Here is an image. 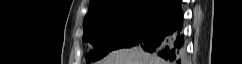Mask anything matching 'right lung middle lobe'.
<instances>
[{"label":"right lung middle lobe","mask_w":242,"mask_h":64,"mask_svg":"<svg viewBox=\"0 0 242 64\" xmlns=\"http://www.w3.org/2000/svg\"><path fill=\"white\" fill-rule=\"evenodd\" d=\"M162 17V13L138 9L107 14L84 24L83 40L92 45L85 56L87 63L112 50L136 46Z\"/></svg>","instance_id":"obj_1"}]
</instances>
